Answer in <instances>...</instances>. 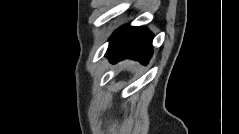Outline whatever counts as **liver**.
Returning a JSON list of instances; mask_svg holds the SVG:
<instances>
[{"label":"liver","instance_id":"1","mask_svg":"<svg viewBox=\"0 0 239 134\" xmlns=\"http://www.w3.org/2000/svg\"><path fill=\"white\" fill-rule=\"evenodd\" d=\"M122 66L124 68H126L127 70L131 71L134 69V67L136 66V64L134 62L131 61H125L122 63Z\"/></svg>","mask_w":239,"mask_h":134}]
</instances>
